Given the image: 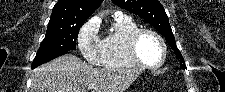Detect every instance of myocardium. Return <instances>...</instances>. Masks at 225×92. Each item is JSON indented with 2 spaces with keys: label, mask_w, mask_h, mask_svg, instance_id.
Returning a JSON list of instances; mask_svg holds the SVG:
<instances>
[{
  "label": "myocardium",
  "mask_w": 225,
  "mask_h": 92,
  "mask_svg": "<svg viewBox=\"0 0 225 92\" xmlns=\"http://www.w3.org/2000/svg\"><path fill=\"white\" fill-rule=\"evenodd\" d=\"M144 34H150L154 36L159 41L162 47V58L156 64H147L139 56L138 42ZM127 51L130 58L132 59L133 63L136 66L141 68H146V69H156L161 67L165 63L167 58V45L165 43V40L162 38V36L159 33L149 28H138L137 30H135L134 32L130 34L127 41Z\"/></svg>",
  "instance_id": "myocardium-1"
}]
</instances>
